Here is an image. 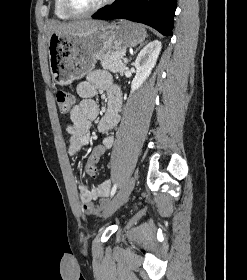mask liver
I'll use <instances>...</instances> for the list:
<instances>
[{
  "label": "liver",
  "mask_w": 247,
  "mask_h": 280,
  "mask_svg": "<svg viewBox=\"0 0 247 280\" xmlns=\"http://www.w3.org/2000/svg\"><path fill=\"white\" fill-rule=\"evenodd\" d=\"M103 24H105V22L96 20H80L69 23L55 21L49 26V35L52 33L71 35L84 34Z\"/></svg>",
  "instance_id": "6515ba94"
}]
</instances>
